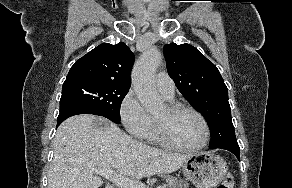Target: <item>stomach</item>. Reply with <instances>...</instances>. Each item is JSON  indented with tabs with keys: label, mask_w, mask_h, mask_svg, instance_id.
Here are the masks:
<instances>
[{
	"label": "stomach",
	"mask_w": 292,
	"mask_h": 188,
	"mask_svg": "<svg viewBox=\"0 0 292 188\" xmlns=\"http://www.w3.org/2000/svg\"><path fill=\"white\" fill-rule=\"evenodd\" d=\"M226 161L209 151L192 154L182 165L185 177L197 188H214L227 173Z\"/></svg>",
	"instance_id": "1"
}]
</instances>
